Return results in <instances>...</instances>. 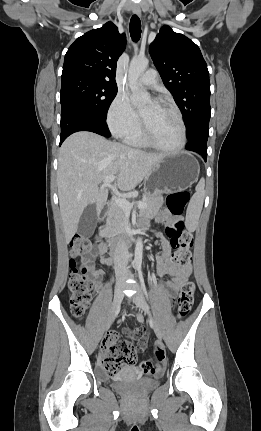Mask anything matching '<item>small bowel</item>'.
<instances>
[{
  "label": "small bowel",
  "instance_id": "1",
  "mask_svg": "<svg viewBox=\"0 0 261 431\" xmlns=\"http://www.w3.org/2000/svg\"><path fill=\"white\" fill-rule=\"evenodd\" d=\"M159 219H167L171 223L174 219L170 216L169 213L165 212L159 216ZM156 237L159 240L160 246L162 248V253L156 257L157 269L161 275L170 276V280H168L164 285V292L168 297H174L176 293L179 291L181 286L188 280V278L192 274V267L190 264L185 266H180L174 263L171 260V245L170 243L162 238L159 234H156ZM90 258H98L102 264L111 265V259L106 255V247L103 244H98L96 247L92 248L89 254ZM92 265V280L94 282L95 291L99 292L102 284V279L104 276L103 269H96L93 267V262L90 261ZM138 337V342L136 346V351H143L147 346V337L144 333V330L141 328H137L133 331ZM106 339L103 342L105 344ZM102 345V347H103ZM131 365L136 364V357L134 352L133 360L129 363ZM140 363L137 364V367Z\"/></svg>",
  "mask_w": 261,
  "mask_h": 431
}]
</instances>
